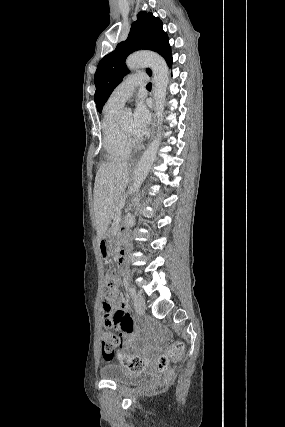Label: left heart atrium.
I'll list each match as a JSON object with an SVG mask.
<instances>
[{"mask_svg": "<svg viewBox=\"0 0 285 427\" xmlns=\"http://www.w3.org/2000/svg\"><path fill=\"white\" fill-rule=\"evenodd\" d=\"M150 125V113L144 103L139 101L133 114L132 133L136 138H143L147 135Z\"/></svg>", "mask_w": 285, "mask_h": 427, "instance_id": "1", "label": "left heart atrium"}]
</instances>
